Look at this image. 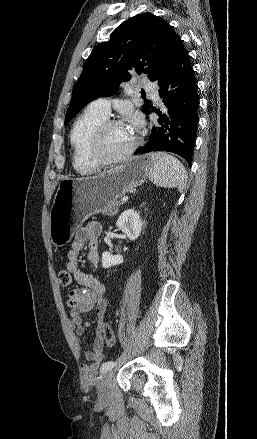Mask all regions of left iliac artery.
Instances as JSON below:
<instances>
[{
	"instance_id": "1",
	"label": "left iliac artery",
	"mask_w": 257,
	"mask_h": 439,
	"mask_svg": "<svg viewBox=\"0 0 257 439\" xmlns=\"http://www.w3.org/2000/svg\"><path fill=\"white\" fill-rule=\"evenodd\" d=\"M114 366H115L114 361H107V362L102 364L100 372L103 374V373L111 370Z\"/></svg>"
}]
</instances>
